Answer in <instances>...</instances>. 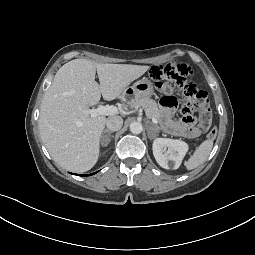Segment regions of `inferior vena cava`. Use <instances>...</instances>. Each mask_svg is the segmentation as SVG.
Listing matches in <instances>:
<instances>
[{
	"mask_svg": "<svg viewBox=\"0 0 255 255\" xmlns=\"http://www.w3.org/2000/svg\"><path fill=\"white\" fill-rule=\"evenodd\" d=\"M123 125V119L120 116L109 117L106 126L110 131H118Z\"/></svg>",
	"mask_w": 255,
	"mask_h": 255,
	"instance_id": "inferior-vena-cava-1",
	"label": "inferior vena cava"
}]
</instances>
